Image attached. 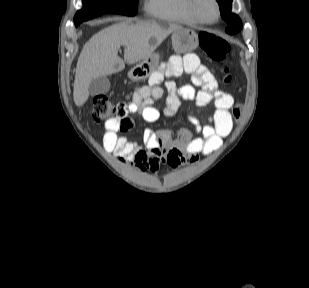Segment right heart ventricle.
I'll return each instance as SVG.
<instances>
[{"instance_id": "e07e8e85", "label": "right heart ventricle", "mask_w": 309, "mask_h": 288, "mask_svg": "<svg viewBox=\"0 0 309 288\" xmlns=\"http://www.w3.org/2000/svg\"><path fill=\"white\" fill-rule=\"evenodd\" d=\"M189 0H146L145 10L150 17L158 20L195 25L188 8Z\"/></svg>"}]
</instances>
